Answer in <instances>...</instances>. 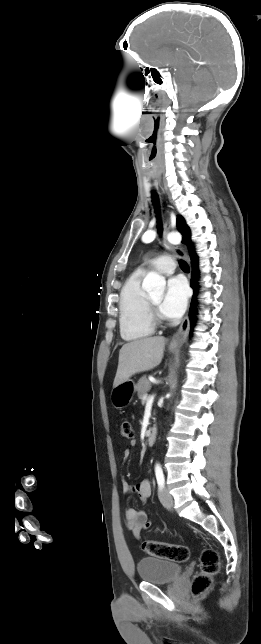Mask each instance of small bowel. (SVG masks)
I'll use <instances>...</instances> for the list:
<instances>
[{"label": "small bowel", "instance_id": "1", "mask_svg": "<svg viewBox=\"0 0 261 644\" xmlns=\"http://www.w3.org/2000/svg\"><path fill=\"white\" fill-rule=\"evenodd\" d=\"M135 441L131 442V445L134 446ZM130 457V450L126 449L123 452V459L126 461ZM122 490L126 494L137 493L140 500L145 502L151 494V485L148 479H142L135 484H129L125 480H122ZM124 521L125 526L128 530L132 531L135 538L139 539L141 536V530L150 529L152 526L151 521L148 518L147 513L142 509L137 508H127L124 511Z\"/></svg>", "mask_w": 261, "mask_h": 644}]
</instances>
